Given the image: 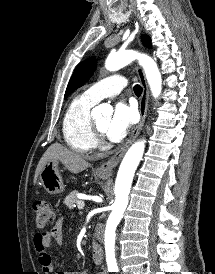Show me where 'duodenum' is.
I'll list each match as a JSON object with an SVG mask.
<instances>
[{
	"mask_svg": "<svg viewBox=\"0 0 215 274\" xmlns=\"http://www.w3.org/2000/svg\"><path fill=\"white\" fill-rule=\"evenodd\" d=\"M91 249H92V259H93V262L96 265H101L103 263V259H104V254H103L102 247L99 244L94 243L92 245Z\"/></svg>",
	"mask_w": 215,
	"mask_h": 274,
	"instance_id": "410a0bca",
	"label": "duodenum"
}]
</instances>
